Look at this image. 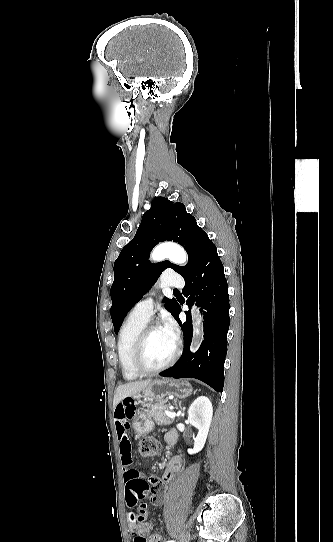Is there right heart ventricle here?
<instances>
[{
  "label": "right heart ventricle",
  "instance_id": "1",
  "mask_svg": "<svg viewBox=\"0 0 333 542\" xmlns=\"http://www.w3.org/2000/svg\"><path fill=\"white\" fill-rule=\"evenodd\" d=\"M147 321L128 317L123 324L118 336V357L121 373L127 380H134L140 377L132 367L131 355L133 345L141 332L146 326Z\"/></svg>",
  "mask_w": 333,
  "mask_h": 542
}]
</instances>
